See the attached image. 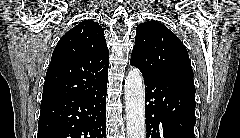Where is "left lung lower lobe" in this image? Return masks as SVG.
I'll list each match as a JSON object with an SVG mask.
<instances>
[{"instance_id":"obj_1","label":"left lung lower lobe","mask_w":240,"mask_h":138,"mask_svg":"<svg viewBox=\"0 0 240 138\" xmlns=\"http://www.w3.org/2000/svg\"><path fill=\"white\" fill-rule=\"evenodd\" d=\"M145 82L146 138H195V86L188 76L149 77Z\"/></svg>"}]
</instances>
